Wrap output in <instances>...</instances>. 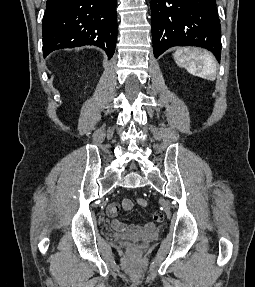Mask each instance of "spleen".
Wrapping results in <instances>:
<instances>
[{"label":"spleen","mask_w":255,"mask_h":287,"mask_svg":"<svg viewBox=\"0 0 255 287\" xmlns=\"http://www.w3.org/2000/svg\"><path fill=\"white\" fill-rule=\"evenodd\" d=\"M182 54H189L190 58L183 60ZM173 56L177 64L186 68L194 76L204 78V80H215L216 62L213 56L209 52H206V50H198V48H193V50H177Z\"/></svg>","instance_id":"1"}]
</instances>
